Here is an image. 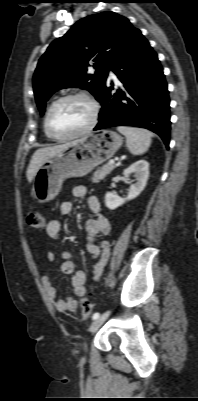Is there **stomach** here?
Listing matches in <instances>:
<instances>
[{
  "mask_svg": "<svg viewBox=\"0 0 198 401\" xmlns=\"http://www.w3.org/2000/svg\"><path fill=\"white\" fill-rule=\"evenodd\" d=\"M123 138L112 130L88 134L46 159L34 180V196L40 203L54 199L65 179L83 177L110 159Z\"/></svg>",
  "mask_w": 198,
  "mask_h": 401,
  "instance_id": "obj_1",
  "label": "stomach"
}]
</instances>
